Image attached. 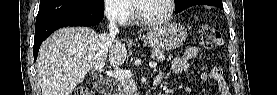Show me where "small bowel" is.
Here are the masks:
<instances>
[{"label": "small bowel", "mask_w": 277, "mask_h": 95, "mask_svg": "<svg viewBox=\"0 0 277 95\" xmlns=\"http://www.w3.org/2000/svg\"><path fill=\"white\" fill-rule=\"evenodd\" d=\"M200 48L197 46H191L187 48L184 53L180 56L175 57L170 65V68L173 72L181 74L187 72L189 68V62L196 58L200 54ZM222 71L219 67L211 69L208 73L205 74V78L211 81H215L218 88L219 93L221 95H229V88L222 78ZM163 78L162 74H159L156 77V81L160 82Z\"/></svg>", "instance_id": "small-bowel-1"}]
</instances>
